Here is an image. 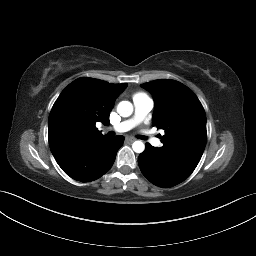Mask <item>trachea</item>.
I'll return each instance as SVG.
<instances>
[{
  "label": "trachea",
  "mask_w": 256,
  "mask_h": 256,
  "mask_svg": "<svg viewBox=\"0 0 256 256\" xmlns=\"http://www.w3.org/2000/svg\"><path fill=\"white\" fill-rule=\"evenodd\" d=\"M138 138H139V139H142V140H145V139H146V137H145V136H142V135H140Z\"/></svg>",
  "instance_id": "3493384b"
}]
</instances>
